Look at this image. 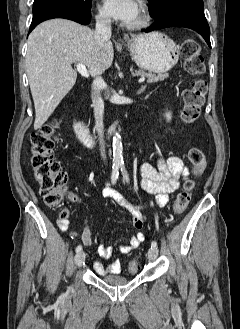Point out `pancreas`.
Wrapping results in <instances>:
<instances>
[{
	"instance_id": "cf45deb5",
	"label": "pancreas",
	"mask_w": 240,
	"mask_h": 329,
	"mask_svg": "<svg viewBox=\"0 0 240 329\" xmlns=\"http://www.w3.org/2000/svg\"><path fill=\"white\" fill-rule=\"evenodd\" d=\"M136 76H141V77H147L148 83H153V82H157V81H163L165 78L168 77V74L164 73V74H152V73H145L144 71H136L135 72Z\"/></svg>"
}]
</instances>
